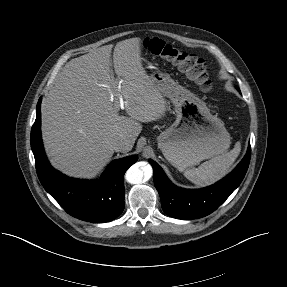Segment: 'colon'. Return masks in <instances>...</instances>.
<instances>
[{
  "instance_id": "1",
  "label": "colon",
  "mask_w": 287,
  "mask_h": 287,
  "mask_svg": "<svg viewBox=\"0 0 287 287\" xmlns=\"http://www.w3.org/2000/svg\"><path fill=\"white\" fill-rule=\"evenodd\" d=\"M144 47L150 53L174 63L202 91L208 92L211 89L212 83L207 64L202 58L185 52L159 38H147L144 41Z\"/></svg>"
}]
</instances>
